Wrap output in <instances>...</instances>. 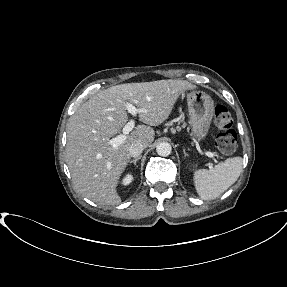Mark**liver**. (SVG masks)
Masks as SVG:
<instances>
[{"mask_svg":"<svg viewBox=\"0 0 287 287\" xmlns=\"http://www.w3.org/2000/svg\"><path fill=\"white\" fill-rule=\"evenodd\" d=\"M195 86L185 80L127 83L102 90L77 110L67 124L66 163L78 193L101 206L118 205L116 191L129 160V147H148L158 126L168 119L178 97ZM139 112L138 125L117 148L108 144L128 121L126 104Z\"/></svg>","mask_w":287,"mask_h":287,"instance_id":"obj_1","label":"liver"}]
</instances>
